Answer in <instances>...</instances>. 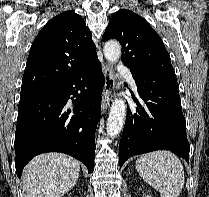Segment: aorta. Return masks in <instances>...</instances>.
<instances>
[{
	"mask_svg": "<svg viewBox=\"0 0 209 197\" xmlns=\"http://www.w3.org/2000/svg\"><path fill=\"white\" fill-rule=\"evenodd\" d=\"M104 56L110 63H116L120 58L121 47L116 41H108L104 46ZM126 104L123 99H115L111 105L106 130L109 136H117L125 123Z\"/></svg>",
	"mask_w": 209,
	"mask_h": 197,
	"instance_id": "obj_1",
	"label": "aorta"
}]
</instances>
